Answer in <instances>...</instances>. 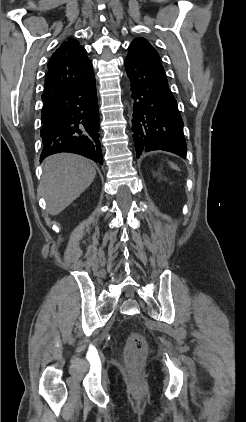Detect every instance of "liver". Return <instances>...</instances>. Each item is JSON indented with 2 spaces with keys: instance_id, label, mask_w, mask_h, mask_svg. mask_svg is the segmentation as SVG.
Listing matches in <instances>:
<instances>
[{
  "instance_id": "1",
  "label": "liver",
  "mask_w": 246,
  "mask_h": 422,
  "mask_svg": "<svg viewBox=\"0 0 246 422\" xmlns=\"http://www.w3.org/2000/svg\"><path fill=\"white\" fill-rule=\"evenodd\" d=\"M96 170L86 158L60 153L45 159L39 190L47 210L57 215L78 198L93 182Z\"/></svg>"
}]
</instances>
